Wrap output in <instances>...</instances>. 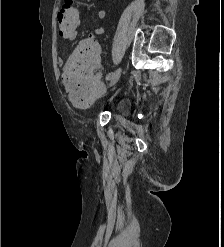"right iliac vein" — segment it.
<instances>
[{
	"label": "right iliac vein",
	"instance_id": "obj_1",
	"mask_svg": "<svg viewBox=\"0 0 224 247\" xmlns=\"http://www.w3.org/2000/svg\"><path fill=\"white\" fill-rule=\"evenodd\" d=\"M121 76V68L117 69L115 72H113V75L110 79V86H113L116 84V82L119 80Z\"/></svg>",
	"mask_w": 224,
	"mask_h": 247
}]
</instances>
